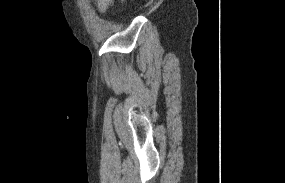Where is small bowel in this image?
Instances as JSON below:
<instances>
[{
	"label": "small bowel",
	"instance_id": "small-bowel-1",
	"mask_svg": "<svg viewBox=\"0 0 285 183\" xmlns=\"http://www.w3.org/2000/svg\"><path fill=\"white\" fill-rule=\"evenodd\" d=\"M112 3L113 0H97V5L101 13H105Z\"/></svg>",
	"mask_w": 285,
	"mask_h": 183
}]
</instances>
